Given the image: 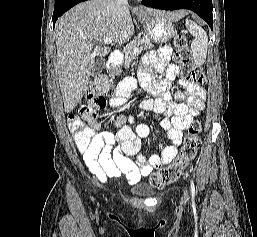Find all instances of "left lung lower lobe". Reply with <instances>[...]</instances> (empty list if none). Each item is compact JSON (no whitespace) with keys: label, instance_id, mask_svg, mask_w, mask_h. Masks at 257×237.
I'll return each instance as SVG.
<instances>
[{"label":"left lung lower lobe","instance_id":"obj_1","mask_svg":"<svg viewBox=\"0 0 257 237\" xmlns=\"http://www.w3.org/2000/svg\"><path fill=\"white\" fill-rule=\"evenodd\" d=\"M142 4L161 10L189 9L204 19L211 29L213 27L212 0L142 1Z\"/></svg>","mask_w":257,"mask_h":237}]
</instances>
